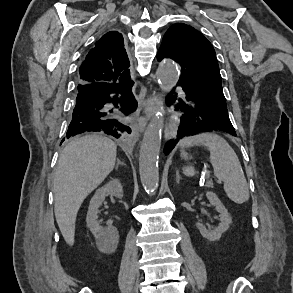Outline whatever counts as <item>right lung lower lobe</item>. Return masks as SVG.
I'll return each mask as SVG.
<instances>
[{"label":"right lung lower lobe","mask_w":293,"mask_h":293,"mask_svg":"<svg viewBox=\"0 0 293 293\" xmlns=\"http://www.w3.org/2000/svg\"><path fill=\"white\" fill-rule=\"evenodd\" d=\"M133 81L122 83L98 82L79 84L75 106L65 138L85 131L105 132L115 138L131 130L120 120L136 109L132 94Z\"/></svg>","instance_id":"1"}]
</instances>
